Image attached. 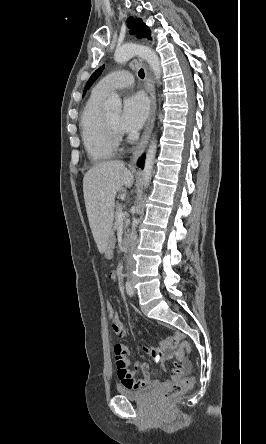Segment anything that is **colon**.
Segmentation results:
<instances>
[{
	"label": "colon",
	"instance_id": "colon-1",
	"mask_svg": "<svg viewBox=\"0 0 266 444\" xmlns=\"http://www.w3.org/2000/svg\"><path fill=\"white\" fill-rule=\"evenodd\" d=\"M106 313L107 316L110 319H113L118 314L113 306L112 303L107 302L106 304ZM190 352V345L186 341H182L178 344L175 356L178 360L182 359L184 356L189 354ZM194 384L193 377H184L177 379L174 381L167 389H165L159 398L160 404H167L170 400H172L174 397L178 396L179 394L183 393L184 391L190 389Z\"/></svg>",
	"mask_w": 266,
	"mask_h": 444
}]
</instances>
